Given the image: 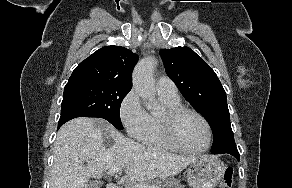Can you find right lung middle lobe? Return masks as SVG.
<instances>
[{"label": "right lung middle lobe", "mask_w": 292, "mask_h": 188, "mask_svg": "<svg viewBox=\"0 0 292 188\" xmlns=\"http://www.w3.org/2000/svg\"><path fill=\"white\" fill-rule=\"evenodd\" d=\"M130 90L94 81H68L64 88L60 118H103L122 130L120 105Z\"/></svg>", "instance_id": "obj_1"}]
</instances>
